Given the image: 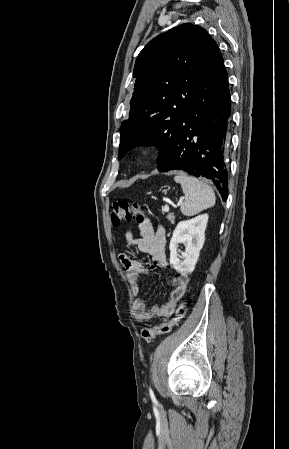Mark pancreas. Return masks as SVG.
<instances>
[{"mask_svg":"<svg viewBox=\"0 0 289 449\" xmlns=\"http://www.w3.org/2000/svg\"><path fill=\"white\" fill-rule=\"evenodd\" d=\"M167 219H168L171 223H174V220H175L174 214H173V213H169V214L167 215Z\"/></svg>","mask_w":289,"mask_h":449,"instance_id":"obj_1","label":"pancreas"}]
</instances>
